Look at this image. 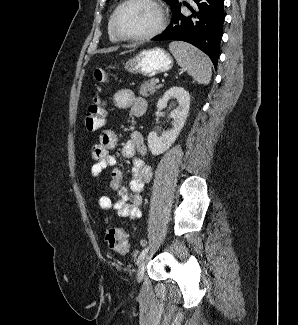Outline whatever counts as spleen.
<instances>
[{"label":"spleen","mask_w":298,"mask_h":325,"mask_svg":"<svg viewBox=\"0 0 298 325\" xmlns=\"http://www.w3.org/2000/svg\"><path fill=\"white\" fill-rule=\"evenodd\" d=\"M169 50L176 58L179 66L186 68L188 74L197 80L198 84H209L212 76V66L209 56L198 50L193 44L183 40L169 42Z\"/></svg>","instance_id":"obj_1"}]
</instances>
